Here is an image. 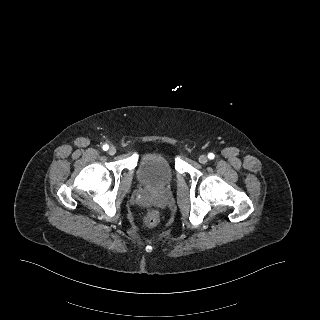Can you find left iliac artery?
I'll list each match as a JSON object with an SVG mask.
<instances>
[{
	"label": "left iliac artery",
	"instance_id": "obj_1",
	"mask_svg": "<svg viewBox=\"0 0 320 320\" xmlns=\"http://www.w3.org/2000/svg\"><path fill=\"white\" fill-rule=\"evenodd\" d=\"M214 157H215V155H214L213 153H209V154H208V158H209V159H214Z\"/></svg>",
	"mask_w": 320,
	"mask_h": 320
}]
</instances>
